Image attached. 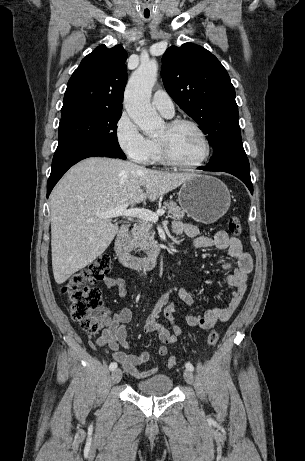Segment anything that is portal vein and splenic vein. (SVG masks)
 <instances>
[{"instance_id":"1","label":"portal vein and splenic vein","mask_w":305,"mask_h":461,"mask_svg":"<svg viewBox=\"0 0 305 461\" xmlns=\"http://www.w3.org/2000/svg\"><path fill=\"white\" fill-rule=\"evenodd\" d=\"M128 204H124L116 207L113 210L101 213L98 215V219L115 218V217H134L142 220L157 222L159 216H162L165 211L163 209L158 210L156 213L144 208H130Z\"/></svg>"}]
</instances>
